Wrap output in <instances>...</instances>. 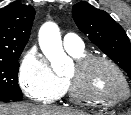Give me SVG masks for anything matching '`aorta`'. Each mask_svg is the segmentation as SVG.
<instances>
[{
	"label": "aorta",
	"instance_id": "762f6f07",
	"mask_svg": "<svg viewBox=\"0 0 131 115\" xmlns=\"http://www.w3.org/2000/svg\"><path fill=\"white\" fill-rule=\"evenodd\" d=\"M39 45L51 67L57 75L65 71L69 57L63 50L62 40L58 26L53 22L45 23L39 32Z\"/></svg>",
	"mask_w": 131,
	"mask_h": 115
}]
</instances>
